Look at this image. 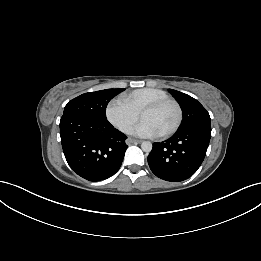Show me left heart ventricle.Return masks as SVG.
I'll list each match as a JSON object with an SVG mask.
<instances>
[{
	"label": "left heart ventricle",
	"mask_w": 261,
	"mask_h": 261,
	"mask_svg": "<svg viewBox=\"0 0 261 261\" xmlns=\"http://www.w3.org/2000/svg\"><path fill=\"white\" fill-rule=\"evenodd\" d=\"M141 117L143 120L153 123L163 133L175 123L177 111L174 105L168 104L156 110L146 111Z\"/></svg>",
	"instance_id": "left-heart-ventricle-1"
}]
</instances>
